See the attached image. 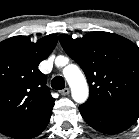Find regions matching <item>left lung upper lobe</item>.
<instances>
[{
  "label": "left lung upper lobe",
  "instance_id": "obj_1",
  "mask_svg": "<svg viewBox=\"0 0 139 139\" xmlns=\"http://www.w3.org/2000/svg\"><path fill=\"white\" fill-rule=\"evenodd\" d=\"M65 52L84 71L90 96L84 105L117 109L139 104V48L117 34L96 31L73 39L59 36Z\"/></svg>",
  "mask_w": 139,
  "mask_h": 139
}]
</instances>
